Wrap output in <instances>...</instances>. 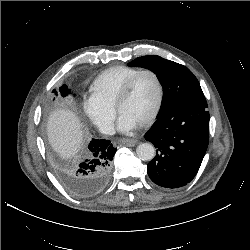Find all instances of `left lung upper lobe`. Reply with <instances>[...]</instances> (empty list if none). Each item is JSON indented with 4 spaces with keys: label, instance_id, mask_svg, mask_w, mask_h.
I'll list each match as a JSON object with an SVG mask.
<instances>
[{
    "label": "left lung upper lobe",
    "instance_id": "1",
    "mask_svg": "<svg viewBox=\"0 0 250 250\" xmlns=\"http://www.w3.org/2000/svg\"><path fill=\"white\" fill-rule=\"evenodd\" d=\"M154 72L164 91L159 116L185 102L204 98L197 78L185 66L160 56H142L128 63Z\"/></svg>",
    "mask_w": 250,
    "mask_h": 250
}]
</instances>
